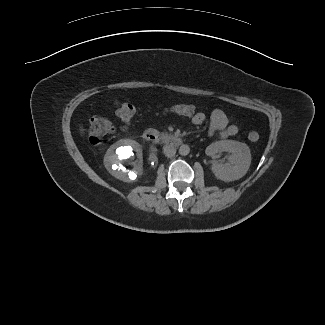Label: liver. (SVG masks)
I'll return each mask as SVG.
<instances>
[{"label": "liver", "mask_w": 325, "mask_h": 325, "mask_svg": "<svg viewBox=\"0 0 325 325\" xmlns=\"http://www.w3.org/2000/svg\"><path fill=\"white\" fill-rule=\"evenodd\" d=\"M80 132H81V134H84V132H85V129L83 128L82 125H80Z\"/></svg>", "instance_id": "obj_1"}]
</instances>
